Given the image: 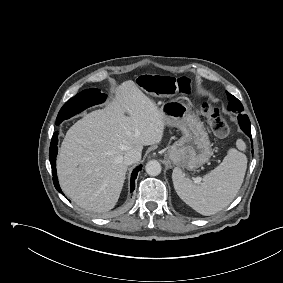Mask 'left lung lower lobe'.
Wrapping results in <instances>:
<instances>
[{"mask_svg": "<svg viewBox=\"0 0 283 283\" xmlns=\"http://www.w3.org/2000/svg\"><path fill=\"white\" fill-rule=\"evenodd\" d=\"M238 121L243 132L251 138V124L247 115L239 114Z\"/></svg>", "mask_w": 283, "mask_h": 283, "instance_id": "obj_1", "label": "left lung lower lobe"}]
</instances>
